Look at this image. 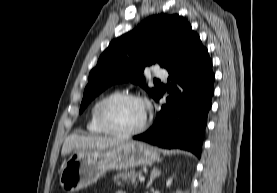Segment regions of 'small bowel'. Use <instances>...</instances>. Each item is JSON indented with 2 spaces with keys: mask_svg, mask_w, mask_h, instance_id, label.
<instances>
[{
  "mask_svg": "<svg viewBox=\"0 0 277 193\" xmlns=\"http://www.w3.org/2000/svg\"><path fill=\"white\" fill-rule=\"evenodd\" d=\"M116 193H126L125 191H117Z\"/></svg>",
  "mask_w": 277,
  "mask_h": 193,
  "instance_id": "1",
  "label": "small bowel"
}]
</instances>
